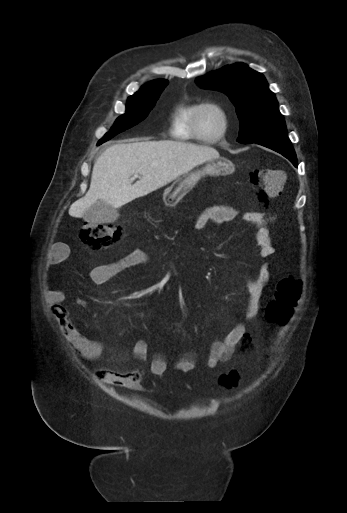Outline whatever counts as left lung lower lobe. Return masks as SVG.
Listing matches in <instances>:
<instances>
[{"label":"left lung lower lobe","mask_w":347,"mask_h":513,"mask_svg":"<svg viewBox=\"0 0 347 513\" xmlns=\"http://www.w3.org/2000/svg\"><path fill=\"white\" fill-rule=\"evenodd\" d=\"M254 143L265 146L282 154L284 157L289 159L295 167H297L296 154L287 136L272 137Z\"/></svg>","instance_id":"left-lung-lower-lobe-1"}]
</instances>
